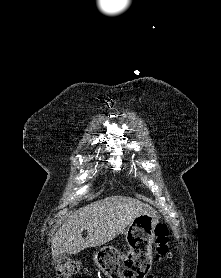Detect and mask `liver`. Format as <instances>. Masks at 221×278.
Listing matches in <instances>:
<instances>
[{
  "label": "liver",
  "mask_w": 221,
  "mask_h": 278,
  "mask_svg": "<svg viewBox=\"0 0 221 278\" xmlns=\"http://www.w3.org/2000/svg\"><path fill=\"white\" fill-rule=\"evenodd\" d=\"M155 210L139 200L115 195L86 205L74 211L52 239V257L76 254L89 247L108 243L123 233L131 221L141 214ZM87 237H82L83 230Z\"/></svg>",
  "instance_id": "6515ba94"
}]
</instances>
